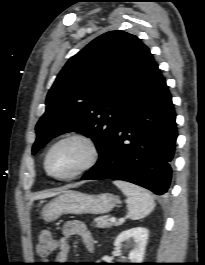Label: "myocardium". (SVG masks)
Wrapping results in <instances>:
<instances>
[{
  "mask_svg": "<svg viewBox=\"0 0 205 265\" xmlns=\"http://www.w3.org/2000/svg\"><path fill=\"white\" fill-rule=\"evenodd\" d=\"M72 140L79 141L85 145V147L87 148L86 160L77 170H75L71 174L61 176V175H56V174L52 173L49 169V166H48L49 157H50L52 151L58 145L66 142V141H72ZM99 154H100V152H99L98 144L96 143V141L91 136L86 135L84 133H69V134L64 135L63 137L59 138L58 140H56L55 142H53L49 146V148L47 149L45 156H44L43 166H44L46 173L50 177H52L56 180L69 181V180H73L75 178H78L79 176H81L84 173H86L87 171H89L97 163V161L99 159Z\"/></svg>",
  "mask_w": 205,
  "mask_h": 265,
  "instance_id": "obj_1",
  "label": "myocardium"
}]
</instances>
